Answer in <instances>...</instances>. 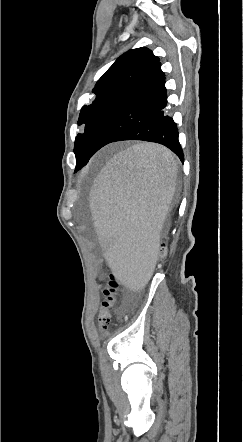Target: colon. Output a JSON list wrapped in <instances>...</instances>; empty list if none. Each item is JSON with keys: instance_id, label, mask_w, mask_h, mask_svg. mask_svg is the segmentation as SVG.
Listing matches in <instances>:
<instances>
[{"instance_id": "1", "label": "colon", "mask_w": 243, "mask_h": 442, "mask_svg": "<svg viewBox=\"0 0 243 442\" xmlns=\"http://www.w3.org/2000/svg\"><path fill=\"white\" fill-rule=\"evenodd\" d=\"M160 242V251H157L155 256L157 262L162 263L168 256L170 243L166 236L161 237ZM103 276L106 278L105 283L108 286L103 291V299L97 300L96 305L100 308L97 319L98 325L102 330H106L111 321L112 310L117 300L121 280L117 279L112 269L104 271Z\"/></svg>"}]
</instances>
